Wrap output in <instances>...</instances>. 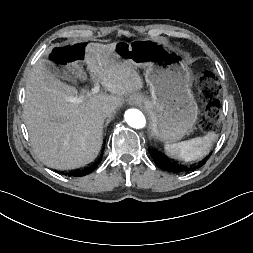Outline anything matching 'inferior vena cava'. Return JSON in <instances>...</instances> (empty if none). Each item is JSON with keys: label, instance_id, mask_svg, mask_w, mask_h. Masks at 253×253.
I'll use <instances>...</instances> for the list:
<instances>
[{"label": "inferior vena cava", "instance_id": "obj_1", "mask_svg": "<svg viewBox=\"0 0 253 253\" xmlns=\"http://www.w3.org/2000/svg\"><path fill=\"white\" fill-rule=\"evenodd\" d=\"M116 110V106L112 105V104H105L103 106V112L105 115H111L115 112Z\"/></svg>", "mask_w": 253, "mask_h": 253}]
</instances>
